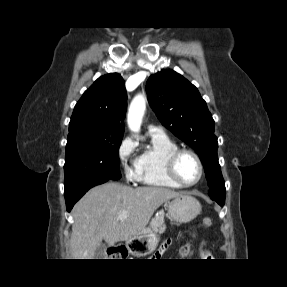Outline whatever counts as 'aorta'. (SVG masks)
Segmentation results:
<instances>
[{
	"label": "aorta",
	"mask_w": 287,
	"mask_h": 287,
	"mask_svg": "<svg viewBox=\"0 0 287 287\" xmlns=\"http://www.w3.org/2000/svg\"><path fill=\"white\" fill-rule=\"evenodd\" d=\"M146 110V99L143 95H137L131 102L127 122L129 129L138 133L140 131L142 119Z\"/></svg>",
	"instance_id": "1"
}]
</instances>
